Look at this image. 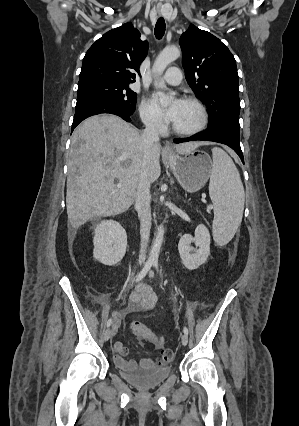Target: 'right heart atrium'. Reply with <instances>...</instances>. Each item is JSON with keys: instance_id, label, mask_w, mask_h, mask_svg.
<instances>
[{"instance_id": "obj_1", "label": "right heart atrium", "mask_w": 299, "mask_h": 426, "mask_svg": "<svg viewBox=\"0 0 299 426\" xmlns=\"http://www.w3.org/2000/svg\"><path fill=\"white\" fill-rule=\"evenodd\" d=\"M140 116L144 124L152 130L164 128L163 119L153 110L150 103L144 100L140 106Z\"/></svg>"}]
</instances>
